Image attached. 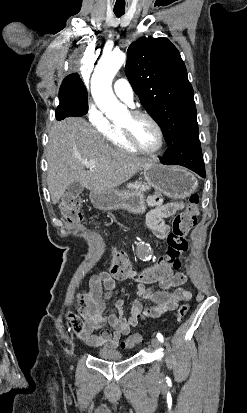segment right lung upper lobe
<instances>
[{"label":"right lung upper lobe","mask_w":247,"mask_h":413,"mask_svg":"<svg viewBox=\"0 0 247 413\" xmlns=\"http://www.w3.org/2000/svg\"><path fill=\"white\" fill-rule=\"evenodd\" d=\"M68 80H81L79 78V75L77 73L74 74H70L69 76H67L63 81H68Z\"/></svg>","instance_id":"right-lung-upper-lobe-1"}]
</instances>
